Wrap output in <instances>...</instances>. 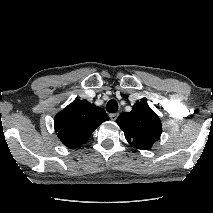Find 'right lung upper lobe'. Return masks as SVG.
<instances>
[{"instance_id":"obj_1","label":"right lung upper lobe","mask_w":213,"mask_h":213,"mask_svg":"<svg viewBox=\"0 0 213 213\" xmlns=\"http://www.w3.org/2000/svg\"><path fill=\"white\" fill-rule=\"evenodd\" d=\"M107 120L109 117L102 108L86 100L77 99L56 114L54 127L58 138L65 146L77 148Z\"/></svg>"}]
</instances>
